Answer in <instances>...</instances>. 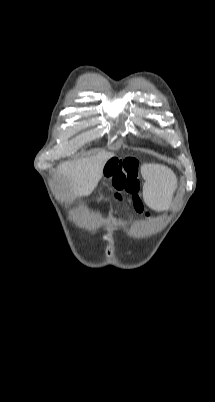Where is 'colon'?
Masks as SVG:
<instances>
[{"label": "colon", "instance_id": "obj_1", "mask_svg": "<svg viewBox=\"0 0 215 402\" xmlns=\"http://www.w3.org/2000/svg\"><path fill=\"white\" fill-rule=\"evenodd\" d=\"M138 161L130 156H110L103 168L102 176L109 179L112 187L119 192L125 191L132 196L135 208L142 211V201L139 196L140 181L138 178Z\"/></svg>", "mask_w": 215, "mask_h": 402}]
</instances>
